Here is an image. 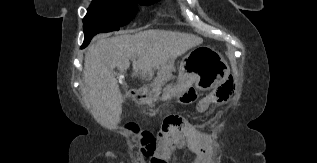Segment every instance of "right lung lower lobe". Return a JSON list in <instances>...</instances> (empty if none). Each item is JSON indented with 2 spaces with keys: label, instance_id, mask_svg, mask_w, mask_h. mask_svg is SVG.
<instances>
[{
  "label": "right lung lower lobe",
  "instance_id": "98d812e1",
  "mask_svg": "<svg viewBox=\"0 0 317 163\" xmlns=\"http://www.w3.org/2000/svg\"><path fill=\"white\" fill-rule=\"evenodd\" d=\"M86 46H87L86 44H83L81 48H84V47H86Z\"/></svg>",
  "mask_w": 317,
  "mask_h": 163
}]
</instances>
